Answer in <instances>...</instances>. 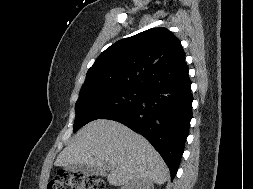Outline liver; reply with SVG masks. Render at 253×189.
<instances>
[{
  "mask_svg": "<svg viewBox=\"0 0 253 189\" xmlns=\"http://www.w3.org/2000/svg\"><path fill=\"white\" fill-rule=\"evenodd\" d=\"M85 164L108 172L113 186L143 179L158 185L169 178V170L153 146L121 123L98 119L81 128L58 155L55 165Z\"/></svg>",
  "mask_w": 253,
  "mask_h": 189,
  "instance_id": "6515ba94",
  "label": "liver"
}]
</instances>
